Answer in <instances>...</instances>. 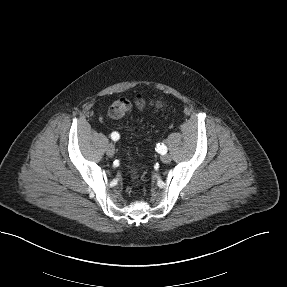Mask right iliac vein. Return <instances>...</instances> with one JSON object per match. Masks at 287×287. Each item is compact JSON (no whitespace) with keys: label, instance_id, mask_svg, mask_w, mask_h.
Returning a JSON list of instances; mask_svg holds the SVG:
<instances>
[{"label":"right iliac vein","instance_id":"63e3f726","mask_svg":"<svg viewBox=\"0 0 287 287\" xmlns=\"http://www.w3.org/2000/svg\"><path fill=\"white\" fill-rule=\"evenodd\" d=\"M114 153H115V148L112 144H109L107 146V149H106V154L109 156V157H112L114 156Z\"/></svg>","mask_w":287,"mask_h":287}]
</instances>
